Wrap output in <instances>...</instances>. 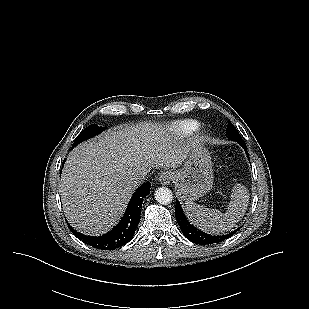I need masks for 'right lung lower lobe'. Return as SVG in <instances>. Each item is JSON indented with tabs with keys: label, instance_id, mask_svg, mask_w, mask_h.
<instances>
[{
	"label": "right lung lower lobe",
	"instance_id": "right-lung-lower-lobe-1",
	"mask_svg": "<svg viewBox=\"0 0 309 309\" xmlns=\"http://www.w3.org/2000/svg\"><path fill=\"white\" fill-rule=\"evenodd\" d=\"M150 187L151 184L146 182L136 190L121 221L107 234L98 237L85 236L68 225L69 229L77 238L97 249L113 250L125 245L132 239L135 229L139 224L141 204L143 199L150 193Z\"/></svg>",
	"mask_w": 309,
	"mask_h": 309
}]
</instances>
